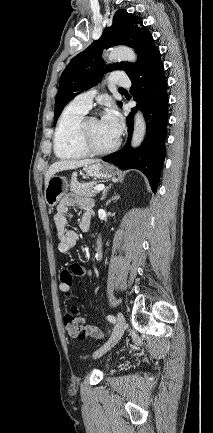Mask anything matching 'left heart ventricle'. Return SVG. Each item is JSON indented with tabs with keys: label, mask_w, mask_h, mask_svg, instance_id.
<instances>
[{
	"label": "left heart ventricle",
	"mask_w": 213,
	"mask_h": 433,
	"mask_svg": "<svg viewBox=\"0 0 213 433\" xmlns=\"http://www.w3.org/2000/svg\"><path fill=\"white\" fill-rule=\"evenodd\" d=\"M88 132L93 145L100 149L110 147L117 139L99 119H92L89 122Z\"/></svg>",
	"instance_id": "1"
}]
</instances>
